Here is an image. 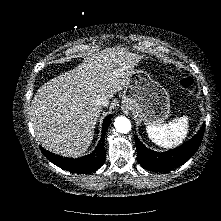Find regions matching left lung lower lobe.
<instances>
[{"mask_svg": "<svg viewBox=\"0 0 221 221\" xmlns=\"http://www.w3.org/2000/svg\"><path fill=\"white\" fill-rule=\"evenodd\" d=\"M204 129L205 125L200 128L198 134L185 144L162 153L148 149L135 136L137 160L149 171L164 172L172 170L185 163L196 152L202 142Z\"/></svg>", "mask_w": 221, "mask_h": 221, "instance_id": "left-lung-lower-lobe-1", "label": "left lung lower lobe"}]
</instances>
